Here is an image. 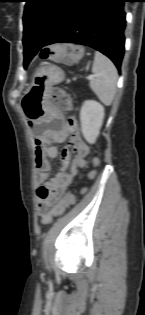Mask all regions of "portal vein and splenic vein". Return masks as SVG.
I'll return each mask as SVG.
<instances>
[{
	"mask_svg": "<svg viewBox=\"0 0 145 315\" xmlns=\"http://www.w3.org/2000/svg\"><path fill=\"white\" fill-rule=\"evenodd\" d=\"M94 77H95L94 75H89V76L87 77V79H88V80H92V79H94Z\"/></svg>",
	"mask_w": 145,
	"mask_h": 315,
	"instance_id": "portal-vein-and-splenic-vein-1",
	"label": "portal vein and splenic vein"
}]
</instances>
